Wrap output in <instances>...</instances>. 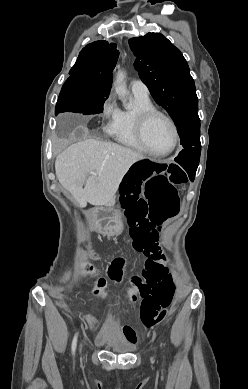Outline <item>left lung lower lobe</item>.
Masks as SVG:
<instances>
[{
  "mask_svg": "<svg viewBox=\"0 0 248 389\" xmlns=\"http://www.w3.org/2000/svg\"><path fill=\"white\" fill-rule=\"evenodd\" d=\"M180 137L187 136L189 139L197 140L193 145L185 147L175 161L179 163L187 172L191 181L194 180L199 164L201 143H200V119L198 109L188 112L177 126Z\"/></svg>",
  "mask_w": 248,
  "mask_h": 389,
  "instance_id": "0a47b994",
  "label": "left lung lower lobe"
}]
</instances>
